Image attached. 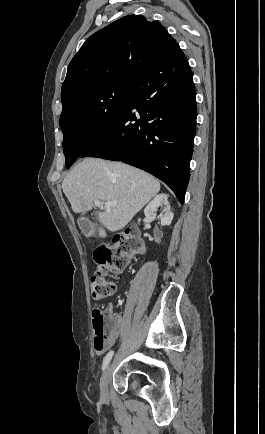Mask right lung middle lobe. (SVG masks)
Listing matches in <instances>:
<instances>
[{
    "label": "right lung middle lobe",
    "instance_id": "obj_1",
    "mask_svg": "<svg viewBox=\"0 0 265 434\" xmlns=\"http://www.w3.org/2000/svg\"><path fill=\"white\" fill-rule=\"evenodd\" d=\"M135 77L109 76L61 95L60 128L66 167L100 139L123 113Z\"/></svg>",
    "mask_w": 265,
    "mask_h": 434
}]
</instances>
